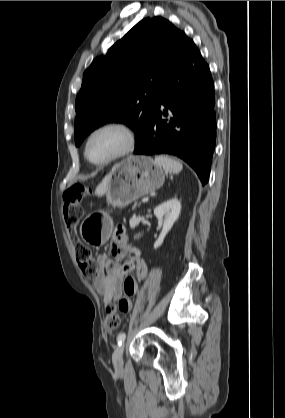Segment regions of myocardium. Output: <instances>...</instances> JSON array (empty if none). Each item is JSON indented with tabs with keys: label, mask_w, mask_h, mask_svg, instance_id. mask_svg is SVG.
<instances>
[{
	"label": "myocardium",
	"mask_w": 285,
	"mask_h": 418,
	"mask_svg": "<svg viewBox=\"0 0 285 418\" xmlns=\"http://www.w3.org/2000/svg\"><path fill=\"white\" fill-rule=\"evenodd\" d=\"M107 129H114V130L120 131L124 135V138H125L124 144L115 154L111 155L105 160L99 161V162L93 161L88 155V145L91 139L97 133L103 130H107ZM135 144H136V135H135L134 130L130 126L119 121L105 122V123L98 125L94 129H92L87 135L84 141V156L86 160L93 165H96V166L106 165L130 154L134 150Z\"/></svg>",
	"instance_id": "myocardium-1"
}]
</instances>
